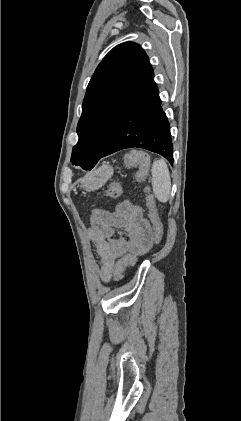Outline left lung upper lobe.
Wrapping results in <instances>:
<instances>
[{"label":"left lung upper lobe","instance_id":"left-lung-upper-lobe-1","mask_svg":"<svg viewBox=\"0 0 241 421\" xmlns=\"http://www.w3.org/2000/svg\"><path fill=\"white\" fill-rule=\"evenodd\" d=\"M149 59L136 43L114 47L96 68L85 94L77 125L78 143L71 162L93 163L106 150Z\"/></svg>","mask_w":241,"mask_h":421}]
</instances>
